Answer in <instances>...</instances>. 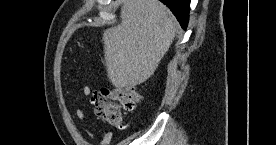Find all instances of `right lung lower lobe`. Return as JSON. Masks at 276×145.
<instances>
[{
	"instance_id": "obj_1",
	"label": "right lung lower lobe",
	"mask_w": 276,
	"mask_h": 145,
	"mask_svg": "<svg viewBox=\"0 0 276 145\" xmlns=\"http://www.w3.org/2000/svg\"><path fill=\"white\" fill-rule=\"evenodd\" d=\"M174 13L181 26L186 29L189 21L190 0H161Z\"/></svg>"
}]
</instances>
